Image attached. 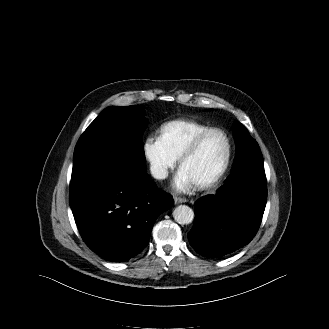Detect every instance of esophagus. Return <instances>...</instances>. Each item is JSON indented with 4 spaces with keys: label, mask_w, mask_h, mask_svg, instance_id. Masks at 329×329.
<instances>
[{
    "label": "esophagus",
    "mask_w": 329,
    "mask_h": 329,
    "mask_svg": "<svg viewBox=\"0 0 329 329\" xmlns=\"http://www.w3.org/2000/svg\"><path fill=\"white\" fill-rule=\"evenodd\" d=\"M174 202L175 204H179V203H185L187 202V200L185 198L175 197Z\"/></svg>",
    "instance_id": "1"
}]
</instances>
